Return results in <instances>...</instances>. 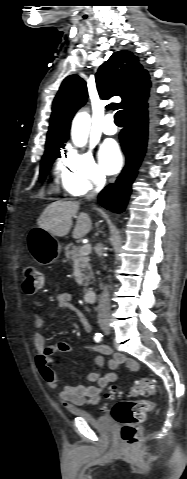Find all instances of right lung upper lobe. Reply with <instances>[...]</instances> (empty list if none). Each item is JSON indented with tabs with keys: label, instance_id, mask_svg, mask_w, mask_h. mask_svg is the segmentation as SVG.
Masks as SVG:
<instances>
[{
	"label": "right lung upper lobe",
	"instance_id": "1",
	"mask_svg": "<svg viewBox=\"0 0 187 479\" xmlns=\"http://www.w3.org/2000/svg\"><path fill=\"white\" fill-rule=\"evenodd\" d=\"M96 85L102 99L120 96L121 103L109 104L107 108H123L125 114L132 109L145 107L153 91L150 76L140 64L138 57L129 51L114 52L100 66ZM85 81L78 75L64 79L53 101L52 115L46 141V151L64 147L76 111L87 100Z\"/></svg>",
	"mask_w": 187,
	"mask_h": 479
}]
</instances>
